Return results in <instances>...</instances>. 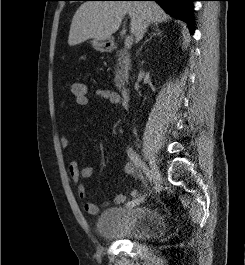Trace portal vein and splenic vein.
Here are the masks:
<instances>
[{"label":"portal vein and splenic vein","instance_id":"18ae733b","mask_svg":"<svg viewBox=\"0 0 245 265\" xmlns=\"http://www.w3.org/2000/svg\"><path fill=\"white\" fill-rule=\"evenodd\" d=\"M125 48L127 49H130L132 44H133V37L132 36H128L126 39H125Z\"/></svg>","mask_w":245,"mask_h":265}]
</instances>
